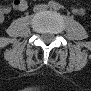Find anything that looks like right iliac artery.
I'll use <instances>...</instances> for the list:
<instances>
[{
  "instance_id": "82829eb1",
  "label": "right iliac artery",
  "mask_w": 91,
  "mask_h": 91,
  "mask_svg": "<svg viewBox=\"0 0 91 91\" xmlns=\"http://www.w3.org/2000/svg\"><path fill=\"white\" fill-rule=\"evenodd\" d=\"M49 6H51V7H52V4L50 3V4H49Z\"/></svg>"
}]
</instances>
